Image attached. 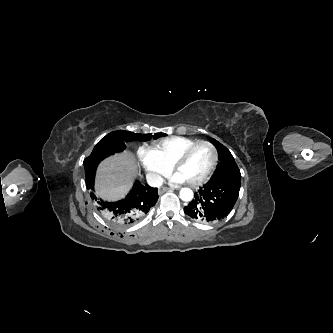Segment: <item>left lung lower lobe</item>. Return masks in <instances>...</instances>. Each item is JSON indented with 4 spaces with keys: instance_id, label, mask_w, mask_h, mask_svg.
<instances>
[{
    "instance_id": "obj_1",
    "label": "left lung lower lobe",
    "mask_w": 333,
    "mask_h": 333,
    "mask_svg": "<svg viewBox=\"0 0 333 333\" xmlns=\"http://www.w3.org/2000/svg\"><path fill=\"white\" fill-rule=\"evenodd\" d=\"M239 168L225 170L213 177L195 193L184 212L199 222L214 223L233 209L240 190Z\"/></svg>"
}]
</instances>
